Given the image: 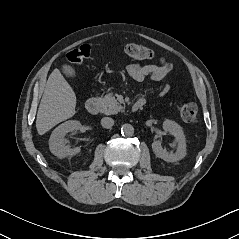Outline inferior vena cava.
<instances>
[{"mask_svg":"<svg viewBox=\"0 0 239 239\" xmlns=\"http://www.w3.org/2000/svg\"><path fill=\"white\" fill-rule=\"evenodd\" d=\"M101 125L104 128H111L114 125V120L110 117H104L101 119Z\"/></svg>","mask_w":239,"mask_h":239,"instance_id":"1","label":"inferior vena cava"}]
</instances>
